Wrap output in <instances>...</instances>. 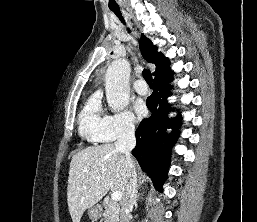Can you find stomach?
<instances>
[{"instance_id": "obj_1", "label": "stomach", "mask_w": 257, "mask_h": 222, "mask_svg": "<svg viewBox=\"0 0 257 222\" xmlns=\"http://www.w3.org/2000/svg\"><path fill=\"white\" fill-rule=\"evenodd\" d=\"M88 215H89V218L94 222L96 220L99 219V217L101 216L100 215V212H99V209L97 207H91L88 209Z\"/></svg>"}]
</instances>
